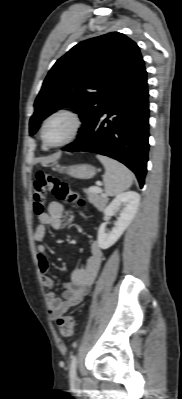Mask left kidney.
<instances>
[{"label": "left kidney", "instance_id": "1", "mask_svg": "<svg viewBox=\"0 0 182 399\" xmlns=\"http://www.w3.org/2000/svg\"><path fill=\"white\" fill-rule=\"evenodd\" d=\"M140 202V195L134 191H127L117 195L112 202L105 208V217L112 216L117 210L122 208L115 226L107 232L106 223H102L98 230V246L101 249H108L114 245L129 224L132 222Z\"/></svg>", "mask_w": 182, "mask_h": 399}]
</instances>
